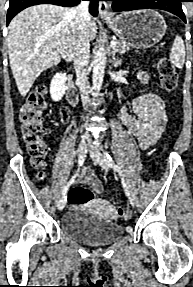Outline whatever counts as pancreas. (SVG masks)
<instances>
[{"instance_id": "1", "label": "pancreas", "mask_w": 193, "mask_h": 287, "mask_svg": "<svg viewBox=\"0 0 193 287\" xmlns=\"http://www.w3.org/2000/svg\"><path fill=\"white\" fill-rule=\"evenodd\" d=\"M117 45L115 47V50L122 54V53H125L127 50H130V45L125 41V40H117L116 41Z\"/></svg>"}]
</instances>
